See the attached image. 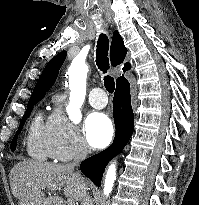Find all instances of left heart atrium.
Wrapping results in <instances>:
<instances>
[{
  "instance_id": "1",
  "label": "left heart atrium",
  "mask_w": 199,
  "mask_h": 205,
  "mask_svg": "<svg viewBox=\"0 0 199 205\" xmlns=\"http://www.w3.org/2000/svg\"><path fill=\"white\" fill-rule=\"evenodd\" d=\"M84 133L90 146L103 148L112 140L114 128L106 114L93 112L85 120Z\"/></svg>"
}]
</instances>
